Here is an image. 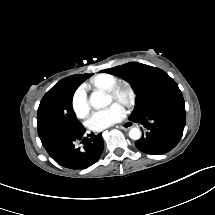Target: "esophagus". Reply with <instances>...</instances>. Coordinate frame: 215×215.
Wrapping results in <instances>:
<instances>
[{
    "label": "esophagus",
    "instance_id": "obj_1",
    "mask_svg": "<svg viewBox=\"0 0 215 215\" xmlns=\"http://www.w3.org/2000/svg\"><path fill=\"white\" fill-rule=\"evenodd\" d=\"M134 126V123L132 122V121H126V122H124L121 126H120V128L122 129V130H129L130 128H132Z\"/></svg>",
    "mask_w": 215,
    "mask_h": 215
}]
</instances>
